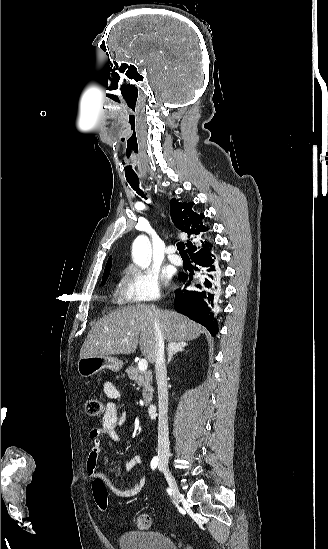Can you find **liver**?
Wrapping results in <instances>:
<instances>
[{"instance_id":"obj_1","label":"liver","mask_w":328,"mask_h":549,"mask_svg":"<svg viewBox=\"0 0 328 549\" xmlns=\"http://www.w3.org/2000/svg\"><path fill=\"white\" fill-rule=\"evenodd\" d=\"M155 321L166 341H193L203 333L201 325L176 311L154 309L152 305H128L94 323L80 357L131 355L140 345L147 361L155 363Z\"/></svg>"}]
</instances>
